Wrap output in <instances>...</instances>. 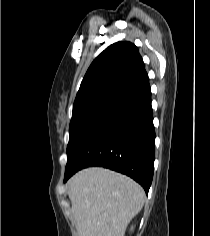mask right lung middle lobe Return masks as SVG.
<instances>
[{
  "instance_id": "right-lung-middle-lobe-1",
  "label": "right lung middle lobe",
  "mask_w": 210,
  "mask_h": 236,
  "mask_svg": "<svg viewBox=\"0 0 210 236\" xmlns=\"http://www.w3.org/2000/svg\"><path fill=\"white\" fill-rule=\"evenodd\" d=\"M130 91L117 88L73 106L70 122V139L67 146V163L93 127L111 111Z\"/></svg>"
}]
</instances>
